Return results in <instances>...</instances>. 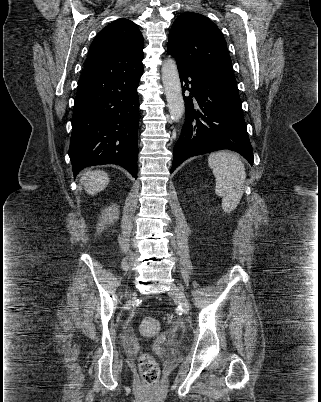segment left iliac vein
Masks as SVG:
<instances>
[{
	"label": "left iliac vein",
	"mask_w": 321,
	"mask_h": 402,
	"mask_svg": "<svg viewBox=\"0 0 321 402\" xmlns=\"http://www.w3.org/2000/svg\"><path fill=\"white\" fill-rule=\"evenodd\" d=\"M169 295L181 306L184 313L188 314L190 312L188 299L178 286L173 284L169 290Z\"/></svg>",
	"instance_id": "1"
}]
</instances>
